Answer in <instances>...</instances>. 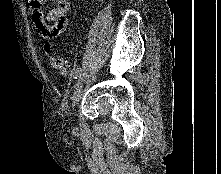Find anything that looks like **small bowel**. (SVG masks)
I'll list each match as a JSON object with an SVG mask.
<instances>
[{"label":"small bowel","mask_w":221,"mask_h":174,"mask_svg":"<svg viewBox=\"0 0 221 174\" xmlns=\"http://www.w3.org/2000/svg\"><path fill=\"white\" fill-rule=\"evenodd\" d=\"M47 0H28L35 28L46 39H53L64 33L68 27V0H55L56 5L44 14L42 6Z\"/></svg>","instance_id":"small-bowel-1"}]
</instances>
